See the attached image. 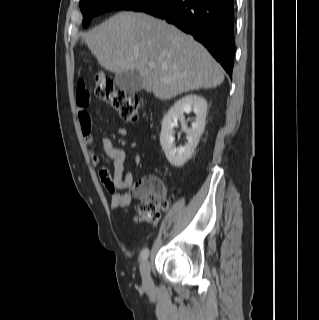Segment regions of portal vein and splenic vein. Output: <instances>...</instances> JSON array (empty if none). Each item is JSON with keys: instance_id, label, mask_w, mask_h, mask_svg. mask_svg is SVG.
Segmentation results:
<instances>
[{"instance_id": "portal-vein-and-splenic-vein-1", "label": "portal vein and splenic vein", "mask_w": 319, "mask_h": 320, "mask_svg": "<svg viewBox=\"0 0 319 320\" xmlns=\"http://www.w3.org/2000/svg\"><path fill=\"white\" fill-rule=\"evenodd\" d=\"M148 67H149V68H154V67H155V63L149 62V63H148Z\"/></svg>"}]
</instances>
